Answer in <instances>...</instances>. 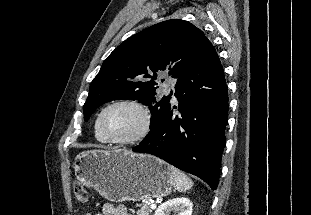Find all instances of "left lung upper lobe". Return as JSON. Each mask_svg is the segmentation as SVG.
<instances>
[{
  "instance_id": "5c2ea615",
  "label": "left lung upper lobe",
  "mask_w": 311,
  "mask_h": 215,
  "mask_svg": "<svg viewBox=\"0 0 311 215\" xmlns=\"http://www.w3.org/2000/svg\"><path fill=\"white\" fill-rule=\"evenodd\" d=\"M205 38L188 21L171 19L122 42L104 61L90 85L84 104L85 121L102 104L125 99L149 106L151 126L172 95H157L161 72L168 71L177 80L198 54Z\"/></svg>"
}]
</instances>
